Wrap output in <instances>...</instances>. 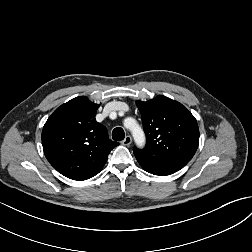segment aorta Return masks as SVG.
Wrapping results in <instances>:
<instances>
[{"instance_id":"1","label":"aorta","mask_w":252,"mask_h":252,"mask_svg":"<svg viewBox=\"0 0 252 252\" xmlns=\"http://www.w3.org/2000/svg\"><path fill=\"white\" fill-rule=\"evenodd\" d=\"M125 126L129 127L137 145H143L145 142V135L142 128L136 123V121L132 118H128L125 120Z\"/></svg>"}]
</instances>
